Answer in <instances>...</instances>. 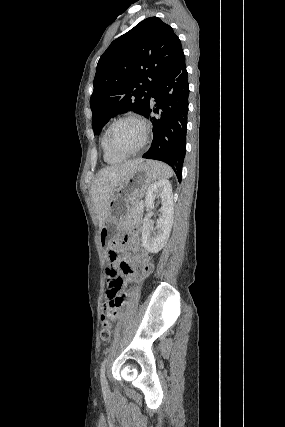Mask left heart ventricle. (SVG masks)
I'll return each mask as SVG.
<instances>
[{
	"label": "left heart ventricle",
	"mask_w": 285,
	"mask_h": 427,
	"mask_svg": "<svg viewBox=\"0 0 285 427\" xmlns=\"http://www.w3.org/2000/svg\"><path fill=\"white\" fill-rule=\"evenodd\" d=\"M142 138V127L131 120L122 121L115 125L110 136L113 146L125 152L134 150L140 144Z\"/></svg>",
	"instance_id": "obj_1"
}]
</instances>
